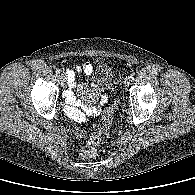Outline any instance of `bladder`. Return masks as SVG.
I'll return each mask as SVG.
<instances>
[{"mask_svg":"<svg viewBox=\"0 0 195 195\" xmlns=\"http://www.w3.org/2000/svg\"><path fill=\"white\" fill-rule=\"evenodd\" d=\"M115 81L113 75L109 69H106L101 81L94 86L95 91H100L103 88H111Z\"/></svg>","mask_w":195,"mask_h":195,"instance_id":"bladder-1","label":"bladder"}]
</instances>
